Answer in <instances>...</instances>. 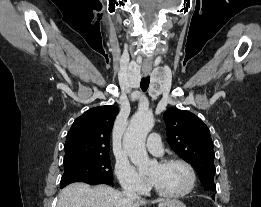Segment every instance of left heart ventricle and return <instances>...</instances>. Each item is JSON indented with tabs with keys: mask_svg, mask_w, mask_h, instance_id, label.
<instances>
[{
	"mask_svg": "<svg viewBox=\"0 0 261 207\" xmlns=\"http://www.w3.org/2000/svg\"><path fill=\"white\" fill-rule=\"evenodd\" d=\"M148 176L157 188L168 193L180 192L188 184V173L179 164H155L149 170Z\"/></svg>",
	"mask_w": 261,
	"mask_h": 207,
	"instance_id": "b2bd125f",
	"label": "left heart ventricle"
}]
</instances>
